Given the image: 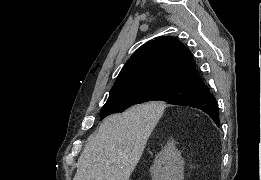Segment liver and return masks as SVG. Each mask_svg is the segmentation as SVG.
Returning a JSON list of instances; mask_svg holds the SVG:
<instances>
[{"instance_id":"1","label":"liver","mask_w":261,"mask_h":180,"mask_svg":"<svg viewBox=\"0 0 261 180\" xmlns=\"http://www.w3.org/2000/svg\"><path fill=\"white\" fill-rule=\"evenodd\" d=\"M160 102L139 104L103 120L78 158L74 180H129L157 124Z\"/></svg>"}]
</instances>
